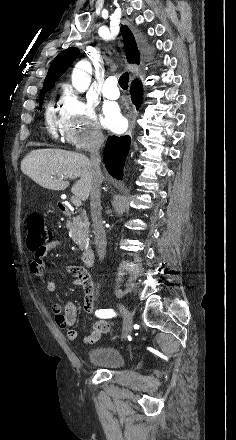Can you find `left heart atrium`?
<instances>
[{
  "instance_id": "obj_1",
  "label": "left heart atrium",
  "mask_w": 236,
  "mask_h": 440,
  "mask_svg": "<svg viewBox=\"0 0 236 440\" xmlns=\"http://www.w3.org/2000/svg\"><path fill=\"white\" fill-rule=\"evenodd\" d=\"M103 123L108 129L112 131L119 130L122 127V117L117 107H107L104 113Z\"/></svg>"
}]
</instances>
